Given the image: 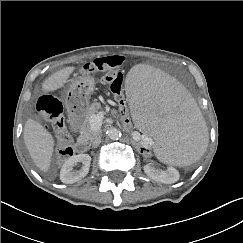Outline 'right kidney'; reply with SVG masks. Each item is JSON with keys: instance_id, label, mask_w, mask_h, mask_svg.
<instances>
[{"instance_id": "1", "label": "right kidney", "mask_w": 243, "mask_h": 243, "mask_svg": "<svg viewBox=\"0 0 243 243\" xmlns=\"http://www.w3.org/2000/svg\"><path fill=\"white\" fill-rule=\"evenodd\" d=\"M78 163L83 164L82 168L73 171V167ZM90 163L91 157L88 154H78L70 157L61 168L60 180L65 184H71L81 180L88 174Z\"/></svg>"}]
</instances>
